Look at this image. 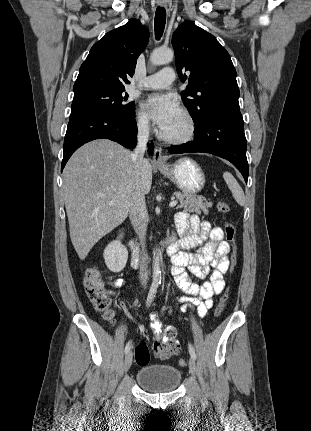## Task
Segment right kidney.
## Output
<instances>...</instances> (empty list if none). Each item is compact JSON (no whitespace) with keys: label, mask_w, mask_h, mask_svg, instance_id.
Instances as JSON below:
<instances>
[{"label":"right kidney","mask_w":311,"mask_h":431,"mask_svg":"<svg viewBox=\"0 0 311 431\" xmlns=\"http://www.w3.org/2000/svg\"><path fill=\"white\" fill-rule=\"evenodd\" d=\"M103 257L111 271H122L128 259V249L121 241H111L104 249Z\"/></svg>","instance_id":"ca27d5eb"}]
</instances>
